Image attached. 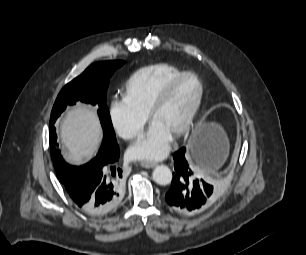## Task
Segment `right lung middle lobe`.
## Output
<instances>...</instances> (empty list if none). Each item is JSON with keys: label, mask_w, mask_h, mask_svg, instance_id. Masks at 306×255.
<instances>
[{"label": "right lung middle lobe", "mask_w": 306, "mask_h": 255, "mask_svg": "<svg viewBox=\"0 0 306 255\" xmlns=\"http://www.w3.org/2000/svg\"><path fill=\"white\" fill-rule=\"evenodd\" d=\"M122 65L123 61H105L92 64L80 76L68 83L59 93L51 112L49 126L51 156L58 177L64 160L57 149L54 123L67 105L75 104L78 100L90 103L93 106L97 105V112L104 133L102 144L116 143L110 114L106 106V91L109 85V78Z\"/></svg>", "instance_id": "dd1d6c3e"}]
</instances>
